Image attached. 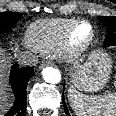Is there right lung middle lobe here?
I'll return each mask as SVG.
<instances>
[{"mask_svg": "<svg viewBox=\"0 0 116 116\" xmlns=\"http://www.w3.org/2000/svg\"><path fill=\"white\" fill-rule=\"evenodd\" d=\"M21 18L18 12H1L0 13V29H11L16 22Z\"/></svg>", "mask_w": 116, "mask_h": 116, "instance_id": "obj_1", "label": "right lung middle lobe"}]
</instances>
